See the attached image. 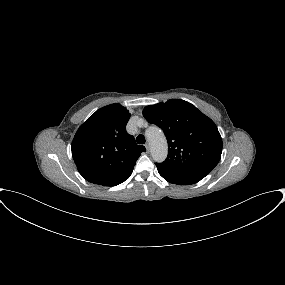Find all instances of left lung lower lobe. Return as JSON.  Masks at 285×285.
Returning a JSON list of instances; mask_svg holds the SVG:
<instances>
[{
    "instance_id": "left-lung-lower-lobe-1",
    "label": "left lung lower lobe",
    "mask_w": 285,
    "mask_h": 285,
    "mask_svg": "<svg viewBox=\"0 0 285 285\" xmlns=\"http://www.w3.org/2000/svg\"><path fill=\"white\" fill-rule=\"evenodd\" d=\"M166 181L177 184V185H190L195 184L200 179L192 178V177H182V176H173L159 173Z\"/></svg>"
}]
</instances>
